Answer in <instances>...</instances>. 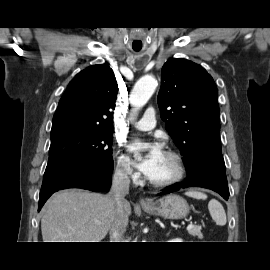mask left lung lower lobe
I'll return each instance as SVG.
<instances>
[{
  "label": "left lung lower lobe",
  "mask_w": 270,
  "mask_h": 270,
  "mask_svg": "<svg viewBox=\"0 0 270 270\" xmlns=\"http://www.w3.org/2000/svg\"><path fill=\"white\" fill-rule=\"evenodd\" d=\"M186 187L208 188L216 191L225 200H228L230 194L224 161H207L198 171L188 175L184 182L171 185L166 191L159 193L158 195L168 194Z\"/></svg>",
  "instance_id": "left-lung-lower-lobe-1"
}]
</instances>
